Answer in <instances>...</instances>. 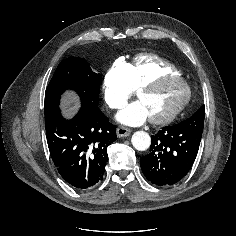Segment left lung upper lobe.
<instances>
[{
    "mask_svg": "<svg viewBox=\"0 0 236 236\" xmlns=\"http://www.w3.org/2000/svg\"><path fill=\"white\" fill-rule=\"evenodd\" d=\"M204 117H205V107L203 105L190 118L176 125L203 132Z\"/></svg>",
    "mask_w": 236,
    "mask_h": 236,
    "instance_id": "obj_1",
    "label": "left lung upper lobe"
}]
</instances>
